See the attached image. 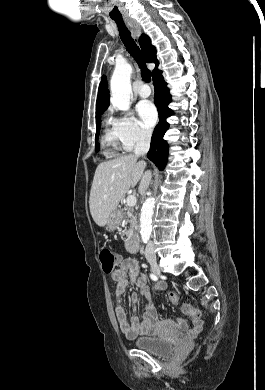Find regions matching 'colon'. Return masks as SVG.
<instances>
[{"instance_id":"colon-1","label":"colon","mask_w":265,"mask_h":390,"mask_svg":"<svg viewBox=\"0 0 265 390\" xmlns=\"http://www.w3.org/2000/svg\"><path fill=\"white\" fill-rule=\"evenodd\" d=\"M99 259L102 264L103 270L106 273H112L117 264L116 255L106 247H102L99 251ZM169 299L173 304H179L181 302L180 297L175 293L169 294ZM181 310L184 314L189 315L195 319H200L201 312L193 307L189 303H182Z\"/></svg>"}]
</instances>
